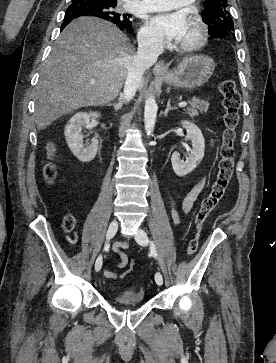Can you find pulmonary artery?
<instances>
[{"mask_svg": "<svg viewBox=\"0 0 276 363\" xmlns=\"http://www.w3.org/2000/svg\"><path fill=\"white\" fill-rule=\"evenodd\" d=\"M194 0H142L132 1L130 9H136L138 12H154L163 10H172L181 6L192 3Z\"/></svg>", "mask_w": 276, "mask_h": 363, "instance_id": "e3ab8cb5", "label": "pulmonary artery"}]
</instances>
